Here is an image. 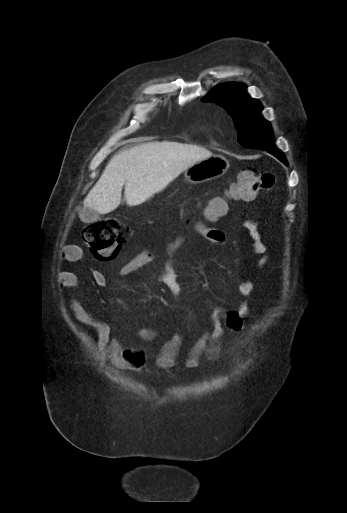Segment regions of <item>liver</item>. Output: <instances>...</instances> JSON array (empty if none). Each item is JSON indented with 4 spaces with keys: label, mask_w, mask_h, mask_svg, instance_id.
I'll list each match as a JSON object with an SVG mask.
<instances>
[{
    "label": "liver",
    "mask_w": 347,
    "mask_h": 513,
    "mask_svg": "<svg viewBox=\"0 0 347 513\" xmlns=\"http://www.w3.org/2000/svg\"><path fill=\"white\" fill-rule=\"evenodd\" d=\"M211 155L204 147L169 141L123 150L108 162L84 199L83 209L110 213L120 205L124 185L127 205H139L163 190L188 167Z\"/></svg>",
    "instance_id": "1"
}]
</instances>
